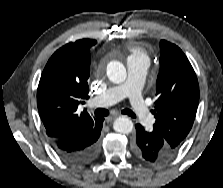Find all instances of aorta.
Here are the masks:
<instances>
[{
    "instance_id": "aorta-1",
    "label": "aorta",
    "mask_w": 223,
    "mask_h": 188,
    "mask_svg": "<svg viewBox=\"0 0 223 188\" xmlns=\"http://www.w3.org/2000/svg\"><path fill=\"white\" fill-rule=\"evenodd\" d=\"M107 76L113 83H122L127 77L126 68L119 61H111L107 65ZM113 129L120 134H128L133 130V122L128 117L120 116L115 119Z\"/></svg>"
}]
</instances>
